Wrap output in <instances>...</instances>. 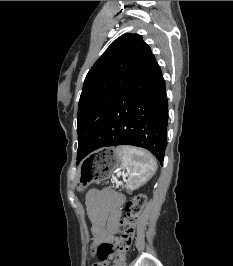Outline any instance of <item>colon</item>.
<instances>
[{
	"mask_svg": "<svg viewBox=\"0 0 233 266\" xmlns=\"http://www.w3.org/2000/svg\"><path fill=\"white\" fill-rule=\"evenodd\" d=\"M146 203L143 194L130 198L124 208V216L120 221V231L113 243H104L98 246L99 261L93 266H126L125 256L135 234V225Z\"/></svg>",
	"mask_w": 233,
	"mask_h": 266,
	"instance_id": "colon-1",
	"label": "colon"
}]
</instances>
